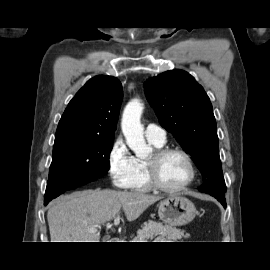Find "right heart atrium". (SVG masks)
Masks as SVG:
<instances>
[{"label":"right heart atrium","instance_id":"1","mask_svg":"<svg viewBox=\"0 0 270 270\" xmlns=\"http://www.w3.org/2000/svg\"><path fill=\"white\" fill-rule=\"evenodd\" d=\"M108 174L114 186L131 188L135 175V158L122 138L112 143L107 155Z\"/></svg>","mask_w":270,"mask_h":270}]
</instances>
